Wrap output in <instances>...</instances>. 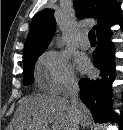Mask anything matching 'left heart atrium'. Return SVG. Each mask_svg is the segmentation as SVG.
Here are the masks:
<instances>
[{"instance_id":"left-heart-atrium-1","label":"left heart atrium","mask_w":123,"mask_h":130,"mask_svg":"<svg viewBox=\"0 0 123 130\" xmlns=\"http://www.w3.org/2000/svg\"><path fill=\"white\" fill-rule=\"evenodd\" d=\"M77 63H78L80 70H82V71H86L89 68V63L84 58H80Z\"/></svg>"}]
</instances>
